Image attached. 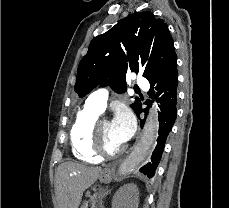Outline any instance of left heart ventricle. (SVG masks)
<instances>
[{"label": "left heart ventricle", "mask_w": 229, "mask_h": 208, "mask_svg": "<svg viewBox=\"0 0 229 208\" xmlns=\"http://www.w3.org/2000/svg\"><path fill=\"white\" fill-rule=\"evenodd\" d=\"M99 132L106 139L107 151H111V148H117L123 145L113 134L112 125L108 122H101L99 125Z\"/></svg>", "instance_id": "b2bd125f"}]
</instances>
